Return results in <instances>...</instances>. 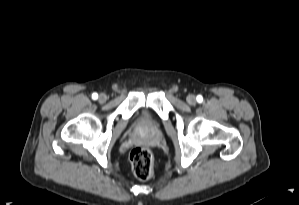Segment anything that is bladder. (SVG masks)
Masks as SVG:
<instances>
[{
  "instance_id": "1",
  "label": "bladder",
  "mask_w": 299,
  "mask_h": 205,
  "mask_svg": "<svg viewBox=\"0 0 299 205\" xmlns=\"http://www.w3.org/2000/svg\"><path fill=\"white\" fill-rule=\"evenodd\" d=\"M139 125H143L145 122L143 120H138L137 122Z\"/></svg>"
}]
</instances>
